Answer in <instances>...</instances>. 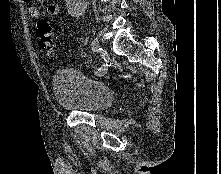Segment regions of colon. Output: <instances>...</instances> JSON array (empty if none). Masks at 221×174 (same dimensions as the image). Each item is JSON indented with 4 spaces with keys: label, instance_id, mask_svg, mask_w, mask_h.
I'll list each match as a JSON object with an SVG mask.
<instances>
[{
    "label": "colon",
    "instance_id": "5ec220e1",
    "mask_svg": "<svg viewBox=\"0 0 221 174\" xmlns=\"http://www.w3.org/2000/svg\"><path fill=\"white\" fill-rule=\"evenodd\" d=\"M37 41L39 46L48 54H54V43L52 38V28L48 21L39 19L37 21Z\"/></svg>",
    "mask_w": 221,
    "mask_h": 174
}]
</instances>
